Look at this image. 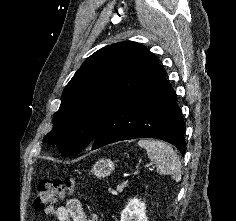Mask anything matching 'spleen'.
<instances>
[{
  "mask_svg": "<svg viewBox=\"0 0 236 221\" xmlns=\"http://www.w3.org/2000/svg\"><path fill=\"white\" fill-rule=\"evenodd\" d=\"M138 145L145 148L148 158L156 163L159 174L170 175L176 182L181 180V162L170 145L150 139H141Z\"/></svg>",
  "mask_w": 236,
  "mask_h": 221,
  "instance_id": "spleen-1",
  "label": "spleen"
}]
</instances>
